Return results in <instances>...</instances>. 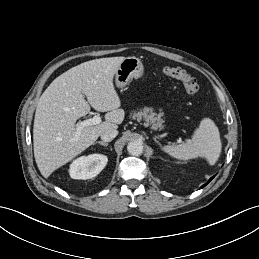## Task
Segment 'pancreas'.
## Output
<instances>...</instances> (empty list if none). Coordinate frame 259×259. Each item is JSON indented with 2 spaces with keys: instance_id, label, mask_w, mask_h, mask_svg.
Returning <instances> with one entry per match:
<instances>
[{
  "instance_id": "obj_1",
  "label": "pancreas",
  "mask_w": 259,
  "mask_h": 259,
  "mask_svg": "<svg viewBox=\"0 0 259 259\" xmlns=\"http://www.w3.org/2000/svg\"><path fill=\"white\" fill-rule=\"evenodd\" d=\"M149 112L150 114H148ZM132 118L137 119L138 121L144 119L145 121L151 122L156 126H161L160 117H156L155 113H153L152 110L149 108H144L140 112H134Z\"/></svg>"
}]
</instances>
